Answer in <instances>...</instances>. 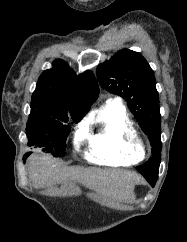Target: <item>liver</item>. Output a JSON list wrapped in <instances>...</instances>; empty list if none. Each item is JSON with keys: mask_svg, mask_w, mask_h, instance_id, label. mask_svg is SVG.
<instances>
[{"mask_svg": "<svg viewBox=\"0 0 187 242\" xmlns=\"http://www.w3.org/2000/svg\"><path fill=\"white\" fill-rule=\"evenodd\" d=\"M28 176L36 187L60 184L68 179L78 180L105 197L130 201L140 177L131 171L119 169L68 167L49 155L33 154L28 160Z\"/></svg>", "mask_w": 187, "mask_h": 242, "instance_id": "1", "label": "liver"}]
</instances>
